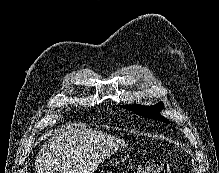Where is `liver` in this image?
Returning a JSON list of instances; mask_svg holds the SVG:
<instances>
[{"label": "liver", "mask_w": 219, "mask_h": 173, "mask_svg": "<svg viewBox=\"0 0 219 173\" xmlns=\"http://www.w3.org/2000/svg\"><path fill=\"white\" fill-rule=\"evenodd\" d=\"M126 142L97 130L66 126L40 148L37 173H92Z\"/></svg>", "instance_id": "liver-1"}]
</instances>
